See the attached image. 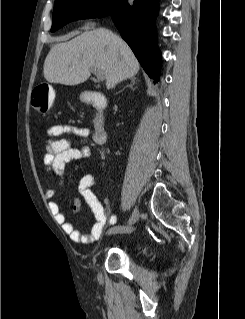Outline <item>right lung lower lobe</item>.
Segmentation results:
<instances>
[{
	"label": "right lung lower lobe",
	"instance_id": "right-lung-lower-lobe-1",
	"mask_svg": "<svg viewBox=\"0 0 245 319\" xmlns=\"http://www.w3.org/2000/svg\"><path fill=\"white\" fill-rule=\"evenodd\" d=\"M159 0H134L129 5L119 0L111 11L113 22L127 42L145 72L154 82L159 81L161 53L157 47L155 20Z\"/></svg>",
	"mask_w": 245,
	"mask_h": 319
}]
</instances>
